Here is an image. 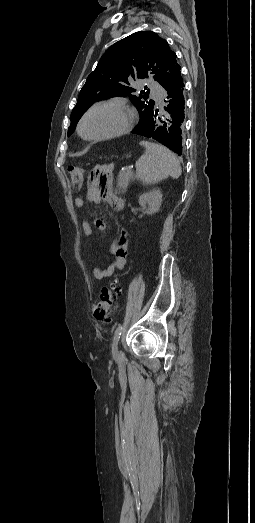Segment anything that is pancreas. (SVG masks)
Listing matches in <instances>:
<instances>
[{"label": "pancreas", "mask_w": 255, "mask_h": 523, "mask_svg": "<svg viewBox=\"0 0 255 523\" xmlns=\"http://www.w3.org/2000/svg\"><path fill=\"white\" fill-rule=\"evenodd\" d=\"M130 180H134L132 172H120L118 176V184L116 194H125Z\"/></svg>", "instance_id": "obj_1"}]
</instances>
